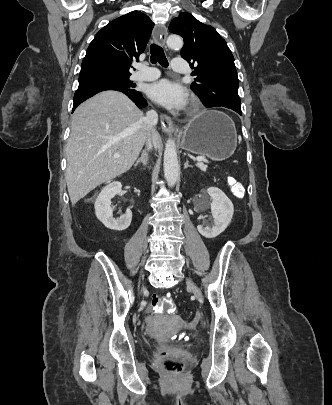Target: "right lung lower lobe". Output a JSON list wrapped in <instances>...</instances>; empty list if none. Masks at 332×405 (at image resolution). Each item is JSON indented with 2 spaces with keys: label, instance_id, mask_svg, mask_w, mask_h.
<instances>
[{
  "label": "right lung lower lobe",
  "instance_id": "1",
  "mask_svg": "<svg viewBox=\"0 0 332 405\" xmlns=\"http://www.w3.org/2000/svg\"><path fill=\"white\" fill-rule=\"evenodd\" d=\"M105 90H117L126 94L139 108L146 106V100L143 98L142 94L139 91L132 90L129 91L122 87H117L114 85H94L86 87L83 89H78L74 95L73 111L76 107L81 104L86 99L92 97L96 93Z\"/></svg>",
  "mask_w": 332,
  "mask_h": 405
}]
</instances>
